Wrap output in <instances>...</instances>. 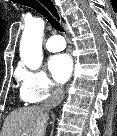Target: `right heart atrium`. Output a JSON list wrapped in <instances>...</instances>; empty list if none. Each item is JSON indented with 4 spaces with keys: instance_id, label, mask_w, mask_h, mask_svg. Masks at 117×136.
I'll return each instance as SVG.
<instances>
[{
    "instance_id": "1",
    "label": "right heart atrium",
    "mask_w": 117,
    "mask_h": 136,
    "mask_svg": "<svg viewBox=\"0 0 117 136\" xmlns=\"http://www.w3.org/2000/svg\"><path fill=\"white\" fill-rule=\"evenodd\" d=\"M18 78L21 81V97L27 103L42 102L62 93L44 70H19Z\"/></svg>"
}]
</instances>
